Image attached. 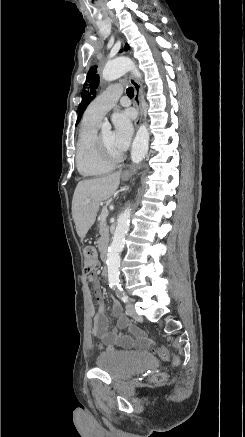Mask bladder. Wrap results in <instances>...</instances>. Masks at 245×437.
Segmentation results:
<instances>
[{"label": "bladder", "instance_id": "bladder-1", "mask_svg": "<svg viewBox=\"0 0 245 437\" xmlns=\"http://www.w3.org/2000/svg\"><path fill=\"white\" fill-rule=\"evenodd\" d=\"M155 365L148 353L133 351H107L96 358V366L114 380H126Z\"/></svg>", "mask_w": 245, "mask_h": 437}]
</instances>
